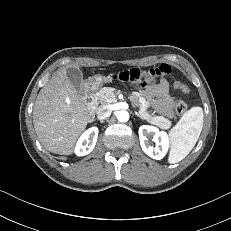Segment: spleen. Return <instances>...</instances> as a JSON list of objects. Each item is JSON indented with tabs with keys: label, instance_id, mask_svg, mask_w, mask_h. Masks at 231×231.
Instances as JSON below:
<instances>
[{
	"label": "spleen",
	"instance_id": "obj_1",
	"mask_svg": "<svg viewBox=\"0 0 231 231\" xmlns=\"http://www.w3.org/2000/svg\"><path fill=\"white\" fill-rule=\"evenodd\" d=\"M204 114L201 107H192L186 111L169 134L172 147L168 162L170 164L183 160L195 146L203 127Z\"/></svg>",
	"mask_w": 231,
	"mask_h": 231
}]
</instances>
